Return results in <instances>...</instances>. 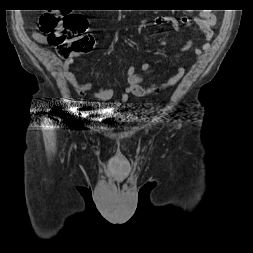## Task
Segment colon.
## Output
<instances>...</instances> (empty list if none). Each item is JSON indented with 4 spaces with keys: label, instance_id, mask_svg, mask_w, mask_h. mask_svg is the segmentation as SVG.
<instances>
[{
    "label": "colon",
    "instance_id": "1",
    "mask_svg": "<svg viewBox=\"0 0 253 253\" xmlns=\"http://www.w3.org/2000/svg\"><path fill=\"white\" fill-rule=\"evenodd\" d=\"M88 20L80 14H43L39 29L63 58L88 53L94 46L93 36L87 32ZM158 90L153 93H157Z\"/></svg>",
    "mask_w": 253,
    "mask_h": 253
}]
</instances>
